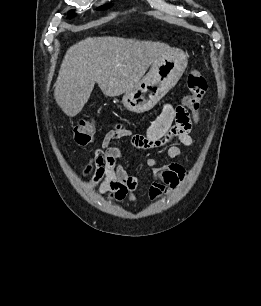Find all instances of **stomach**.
<instances>
[{
    "label": "stomach",
    "instance_id": "0dacf381",
    "mask_svg": "<svg viewBox=\"0 0 261 306\" xmlns=\"http://www.w3.org/2000/svg\"><path fill=\"white\" fill-rule=\"evenodd\" d=\"M188 63L187 55L180 49H171L151 65L148 74L122 97L125 108L135 113L152 109L181 78Z\"/></svg>",
    "mask_w": 261,
    "mask_h": 306
}]
</instances>
